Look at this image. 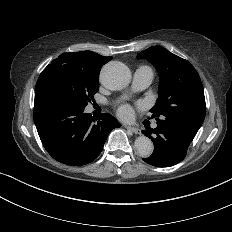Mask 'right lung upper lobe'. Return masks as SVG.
<instances>
[{
    "instance_id": "right-lung-upper-lobe-1",
    "label": "right lung upper lobe",
    "mask_w": 232,
    "mask_h": 232,
    "mask_svg": "<svg viewBox=\"0 0 232 232\" xmlns=\"http://www.w3.org/2000/svg\"><path fill=\"white\" fill-rule=\"evenodd\" d=\"M111 58V56L105 57L92 51H80L63 53L56 61L66 66L80 68L90 74L99 75L102 65L111 60Z\"/></svg>"
}]
</instances>
